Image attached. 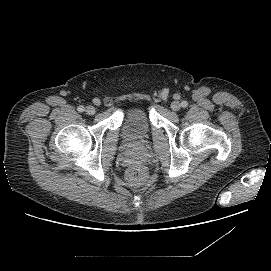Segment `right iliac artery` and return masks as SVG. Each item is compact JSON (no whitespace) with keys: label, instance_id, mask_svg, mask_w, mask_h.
Wrapping results in <instances>:
<instances>
[{"label":"right iliac artery","instance_id":"right-iliac-artery-1","mask_svg":"<svg viewBox=\"0 0 271 271\" xmlns=\"http://www.w3.org/2000/svg\"><path fill=\"white\" fill-rule=\"evenodd\" d=\"M77 110H78L79 112H83V111L85 110V108H84V106L80 105V106L77 108Z\"/></svg>","mask_w":271,"mask_h":271}]
</instances>
